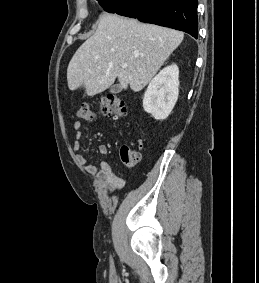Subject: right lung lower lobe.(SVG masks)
<instances>
[{"label":"right lung lower lobe","mask_w":259,"mask_h":283,"mask_svg":"<svg viewBox=\"0 0 259 283\" xmlns=\"http://www.w3.org/2000/svg\"><path fill=\"white\" fill-rule=\"evenodd\" d=\"M99 4L109 13L181 30L197 38L198 0H102Z\"/></svg>","instance_id":"98d812e1"}]
</instances>
